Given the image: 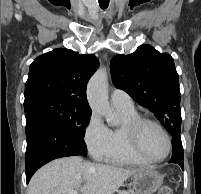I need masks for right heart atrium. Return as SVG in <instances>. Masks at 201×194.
Returning <instances> with one entry per match:
<instances>
[{"mask_svg": "<svg viewBox=\"0 0 201 194\" xmlns=\"http://www.w3.org/2000/svg\"><path fill=\"white\" fill-rule=\"evenodd\" d=\"M84 141L90 154L98 159L102 158L109 148V129L96 113H92L86 124Z\"/></svg>", "mask_w": 201, "mask_h": 194, "instance_id": "d8ad5b80", "label": "right heart atrium"}]
</instances>
